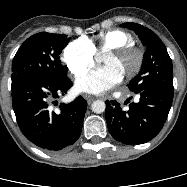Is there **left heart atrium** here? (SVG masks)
I'll return each instance as SVG.
<instances>
[{
    "label": "left heart atrium",
    "instance_id": "left-heart-atrium-1",
    "mask_svg": "<svg viewBox=\"0 0 187 187\" xmlns=\"http://www.w3.org/2000/svg\"><path fill=\"white\" fill-rule=\"evenodd\" d=\"M122 77L114 68L105 66L94 69L78 78L75 88L81 93L100 95L116 86Z\"/></svg>",
    "mask_w": 187,
    "mask_h": 187
}]
</instances>
